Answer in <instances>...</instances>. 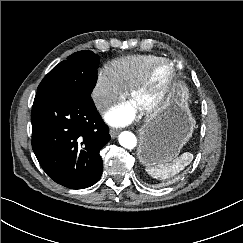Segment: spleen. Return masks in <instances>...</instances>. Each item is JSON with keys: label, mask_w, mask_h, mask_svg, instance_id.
<instances>
[{"label": "spleen", "mask_w": 243, "mask_h": 243, "mask_svg": "<svg viewBox=\"0 0 243 243\" xmlns=\"http://www.w3.org/2000/svg\"><path fill=\"white\" fill-rule=\"evenodd\" d=\"M193 160V154L185 152L171 163H161L153 166H147L146 172L156 179H168L182 171Z\"/></svg>", "instance_id": "spleen-1"}]
</instances>
